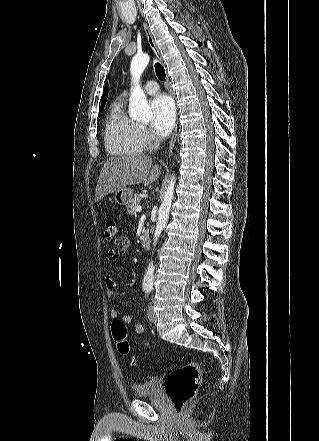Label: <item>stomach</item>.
<instances>
[{"instance_id": "1", "label": "stomach", "mask_w": 319, "mask_h": 441, "mask_svg": "<svg viewBox=\"0 0 319 441\" xmlns=\"http://www.w3.org/2000/svg\"><path fill=\"white\" fill-rule=\"evenodd\" d=\"M133 192L130 188H122L115 192V202L120 206H127L132 200Z\"/></svg>"}]
</instances>
